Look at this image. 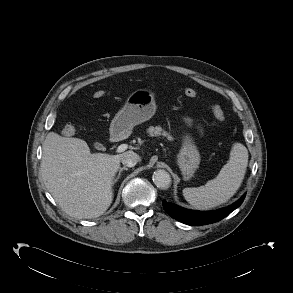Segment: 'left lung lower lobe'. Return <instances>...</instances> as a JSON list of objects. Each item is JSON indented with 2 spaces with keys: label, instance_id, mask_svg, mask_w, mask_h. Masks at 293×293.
Listing matches in <instances>:
<instances>
[{
  "label": "left lung lower lobe",
  "instance_id": "obj_1",
  "mask_svg": "<svg viewBox=\"0 0 293 293\" xmlns=\"http://www.w3.org/2000/svg\"><path fill=\"white\" fill-rule=\"evenodd\" d=\"M245 198V194L242 196L240 200L236 203L228 206L226 208L215 210V211H208V212H201V211H192L187 210L184 208H180L172 203L163 200L162 204L165 211L174 219L185 223L187 225H206L217 222L224 217L228 216L232 211L238 208Z\"/></svg>",
  "mask_w": 293,
  "mask_h": 293
}]
</instances>
